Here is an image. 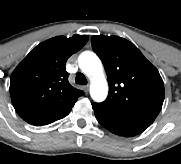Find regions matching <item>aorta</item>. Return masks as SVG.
Wrapping results in <instances>:
<instances>
[{
	"label": "aorta",
	"instance_id": "obj_1",
	"mask_svg": "<svg viewBox=\"0 0 181 164\" xmlns=\"http://www.w3.org/2000/svg\"><path fill=\"white\" fill-rule=\"evenodd\" d=\"M78 63L82 72L90 79L91 98L95 102L104 101L108 94V83L101 60L95 53L85 51L80 54Z\"/></svg>",
	"mask_w": 181,
	"mask_h": 164
}]
</instances>
